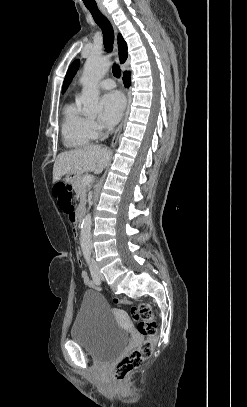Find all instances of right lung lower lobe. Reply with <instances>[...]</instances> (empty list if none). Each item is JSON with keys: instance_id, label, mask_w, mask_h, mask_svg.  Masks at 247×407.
I'll use <instances>...</instances> for the list:
<instances>
[{"instance_id": "1", "label": "right lung lower lobe", "mask_w": 247, "mask_h": 407, "mask_svg": "<svg viewBox=\"0 0 247 407\" xmlns=\"http://www.w3.org/2000/svg\"><path fill=\"white\" fill-rule=\"evenodd\" d=\"M123 82H124L126 87H129V85H130V73L129 72L124 73Z\"/></svg>"}]
</instances>
